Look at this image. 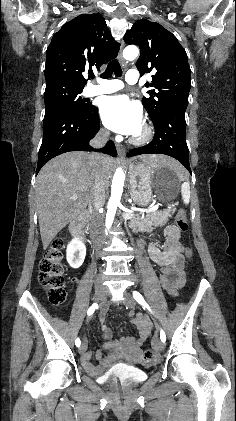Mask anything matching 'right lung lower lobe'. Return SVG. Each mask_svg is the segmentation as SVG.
<instances>
[{
    "instance_id": "98d812e1",
    "label": "right lung lower lobe",
    "mask_w": 236,
    "mask_h": 421,
    "mask_svg": "<svg viewBox=\"0 0 236 421\" xmlns=\"http://www.w3.org/2000/svg\"><path fill=\"white\" fill-rule=\"evenodd\" d=\"M98 108L90 104L84 113L57 111L44 116L43 140L39 150L37 171L53 157L69 151H93L89 141L99 131ZM95 151L117 156L115 144L108 141L102 149Z\"/></svg>"
}]
</instances>
